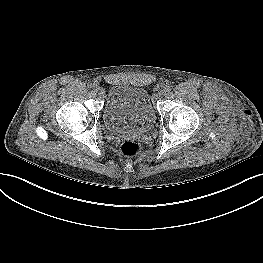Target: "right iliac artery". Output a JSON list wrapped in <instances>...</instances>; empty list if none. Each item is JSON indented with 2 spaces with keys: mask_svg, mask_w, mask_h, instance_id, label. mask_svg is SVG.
I'll return each instance as SVG.
<instances>
[{
  "mask_svg": "<svg viewBox=\"0 0 263 263\" xmlns=\"http://www.w3.org/2000/svg\"><path fill=\"white\" fill-rule=\"evenodd\" d=\"M90 88H92V89H97V84H96L95 82H92V83L90 84Z\"/></svg>",
  "mask_w": 263,
  "mask_h": 263,
  "instance_id": "right-iliac-artery-1",
  "label": "right iliac artery"
}]
</instances>
